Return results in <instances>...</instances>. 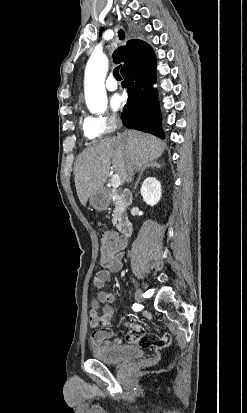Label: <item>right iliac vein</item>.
Returning <instances> with one entry per match:
<instances>
[{"label": "right iliac vein", "instance_id": "63e3f726", "mask_svg": "<svg viewBox=\"0 0 247 413\" xmlns=\"http://www.w3.org/2000/svg\"><path fill=\"white\" fill-rule=\"evenodd\" d=\"M134 296H135V300H136L137 302H142V301H144L143 295H142L141 291H140L139 289H137V288H136V290H135Z\"/></svg>", "mask_w": 247, "mask_h": 413}]
</instances>
